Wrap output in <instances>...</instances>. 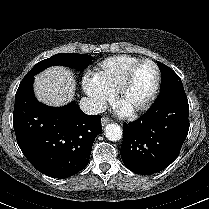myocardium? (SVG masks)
<instances>
[{"mask_svg":"<svg viewBox=\"0 0 209 209\" xmlns=\"http://www.w3.org/2000/svg\"><path fill=\"white\" fill-rule=\"evenodd\" d=\"M142 63H150L153 65L154 70H155V83L153 86V89L148 97V99L140 106L134 108V109H124L123 105H122V100H123V96L126 92V90L128 89L133 74L136 70V68L142 64ZM160 70L158 65L156 64V62H154L153 60L149 59V58H143V59H139L136 62H134L126 71L117 91H116V103L118 105V107L128 116L131 117H136L141 115L142 113L146 112L154 103V101L156 100L159 88H160Z\"/></svg>","mask_w":209,"mask_h":209,"instance_id":"1","label":"myocardium"}]
</instances>
